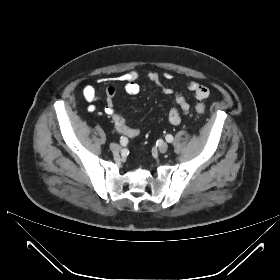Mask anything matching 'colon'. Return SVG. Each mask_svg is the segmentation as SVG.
<instances>
[{
  "label": "colon",
  "mask_w": 280,
  "mask_h": 280,
  "mask_svg": "<svg viewBox=\"0 0 280 280\" xmlns=\"http://www.w3.org/2000/svg\"><path fill=\"white\" fill-rule=\"evenodd\" d=\"M195 111L199 114H202L205 112V107L201 104L196 105Z\"/></svg>",
  "instance_id": "5ec220e1"
}]
</instances>
